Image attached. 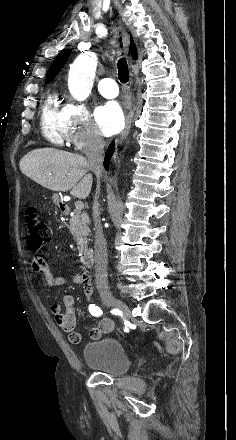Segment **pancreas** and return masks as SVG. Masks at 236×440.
Listing matches in <instances>:
<instances>
[{"label": "pancreas", "mask_w": 236, "mask_h": 440, "mask_svg": "<svg viewBox=\"0 0 236 440\" xmlns=\"http://www.w3.org/2000/svg\"><path fill=\"white\" fill-rule=\"evenodd\" d=\"M90 219L87 213H81L79 210L74 211V215L69 221V231L77 242L80 253L88 248L87 236L90 233Z\"/></svg>", "instance_id": "pancreas-1"}]
</instances>
